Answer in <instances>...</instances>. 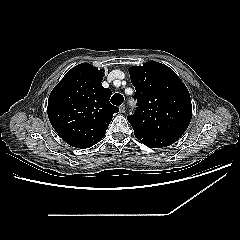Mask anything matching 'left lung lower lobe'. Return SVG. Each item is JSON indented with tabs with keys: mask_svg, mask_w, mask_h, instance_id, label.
I'll return each mask as SVG.
<instances>
[{
	"mask_svg": "<svg viewBox=\"0 0 240 240\" xmlns=\"http://www.w3.org/2000/svg\"><path fill=\"white\" fill-rule=\"evenodd\" d=\"M138 140H140L143 144L151 148H162L167 147L178 139L172 137H140L135 135Z\"/></svg>",
	"mask_w": 240,
	"mask_h": 240,
	"instance_id": "0a47b994",
	"label": "left lung lower lobe"
}]
</instances>
